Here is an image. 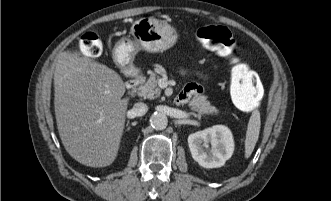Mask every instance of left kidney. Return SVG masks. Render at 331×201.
I'll use <instances>...</instances> for the list:
<instances>
[{"mask_svg":"<svg viewBox=\"0 0 331 201\" xmlns=\"http://www.w3.org/2000/svg\"><path fill=\"white\" fill-rule=\"evenodd\" d=\"M188 145L193 159L204 168L223 166L234 151L232 133L224 125H215L190 134Z\"/></svg>","mask_w":331,"mask_h":201,"instance_id":"5707ae66","label":"left kidney"}]
</instances>
